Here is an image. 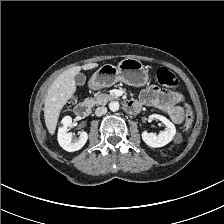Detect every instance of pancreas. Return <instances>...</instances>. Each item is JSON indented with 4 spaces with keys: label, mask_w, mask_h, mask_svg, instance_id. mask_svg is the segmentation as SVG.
Returning a JSON list of instances; mask_svg holds the SVG:
<instances>
[{
    "label": "pancreas",
    "mask_w": 224,
    "mask_h": 224,
    "mask_svg": "<svg viewBox=\"0 0 224 224\" xmlns=\"http://www.w3.org/2000/svg\"><path fill=\"white\" fill-rule=\"evenodd\" d=\"M115 99L112 94L97 93L94 96L93 104L95 105H105L108 101Z\"/></svg>",
    "instance_id": "obj_1"
}]
</instances>
